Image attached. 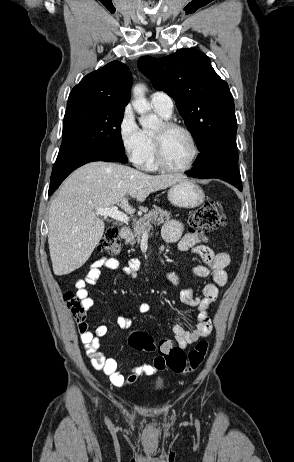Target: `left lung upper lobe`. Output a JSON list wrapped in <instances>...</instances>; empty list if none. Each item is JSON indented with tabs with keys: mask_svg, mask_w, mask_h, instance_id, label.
Returning a JSON list of instances; mask_svg holds the SVG:
<instances>
[{
	"mask_svg": "<svg viewBox=\"0 0 294 462\" xmlns=\"http://www.w3.org/2000/svg\"><path fill=\"white\" fill-rule=\"evenodd\" d=\"M137 66L156 90L173 97L201 152L236 140L233 96L205 54L181 49L160 59L141 57Z\"/></svg>",
	"mask_w": 294,
	"mask_h": 462,
	"instance_id": "obj_1",
	"label": "left lung upper lobe"
}]
</instances>
